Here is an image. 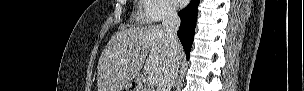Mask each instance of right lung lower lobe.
I'll return each mask as SVG.
<instances>
[{
    "mask_svg": "<svg viewBox=\"0 0 304 91\" xmlns=\"http://www.w3.org/2000/svg\"><path fill=\"white\" fill-rule=\"evenodd\" d=\"M199 2L200 0H191L186 8L178 12L181 25L177 34L184 47L187 59H189L191 45L193 43Z\"/></svg>",
    "mask_w": 304,
    "mask_h": 91,
    "instance_id": "right-lung-lower-lobe-1",
    "label": "right lung lower lobe"
}]
</instances>
